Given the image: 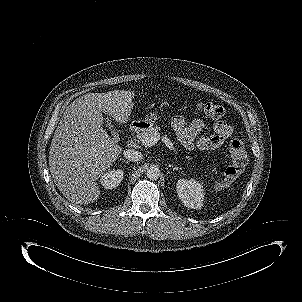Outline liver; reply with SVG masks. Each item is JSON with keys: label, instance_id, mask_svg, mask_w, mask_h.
Wrapping results in <instances>:
<instances>
[{"label": "liver", "instance_id": "liver-1", "mask_svg": "<svg viewBox=\"0 0 302 302\" xmlns=\"http://www.w3.org/2000/svg\"><path fill=\"white\" fill-rule=\"evenodd\" d=\"M133 97L124 90L88 93L64 112L51 142L49 167L56 186L71 202L88 204L98 199L96 180L122 151L103 129V114L125 123Z\"/></svg>", "mask_w": 302, "mask_h": 302}]
</instances>
